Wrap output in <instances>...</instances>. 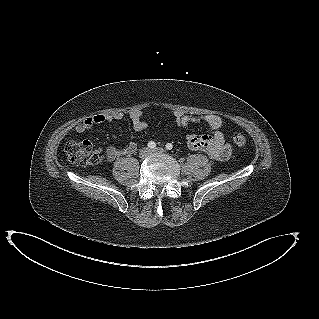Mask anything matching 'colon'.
I'll return each mask as SVG.
<instances>
[{
	"instance_id": "1",
	"label": "colon",
	"mask_w": 319,
	"mask_h": 319,
	"mask_svg": "<svg viewBox=\"0 0 319 319\" xmlns=\"http://www.w3.org/2000/svg\"><path fill=\"white\" fill-rule=\"evenodd\" d=\"M232 139L238 147H245L247 145L246 137L239 132H234ZM64 151L68 159L79 166L94 165L98 162V156L92 150L91 144L87 140H70L65 144Z\"/></svg>"
}]
</instances>
